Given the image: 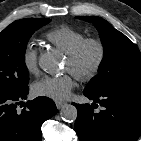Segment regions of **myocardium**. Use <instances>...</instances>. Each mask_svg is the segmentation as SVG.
Returning a JSON list of instances; mask_svg holds the SVG:
<instances>
[{
	"instance_id": "f54148a6",
	"label": "myocardium",
	"mask_w": 141,
	"mask_h": 141,
	"mask_svg": "<svg viewBox=\"0 0 141 141\" xmlns=\"http://www.w3.org/2000/svg\"><path fill=\"white\" fill-rule=\"evenodd\" d=\"M94 51V59L90 64H85L88 51ZM106 57V47L99 38L88 37L81 41L67 54L70 62V71L82 82L92 80L101 70Z\"/></svg>"
}]
</instances>
